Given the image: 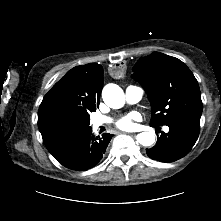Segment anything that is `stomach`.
Returning <instances> with one entry per match:
<instances>
[{
	"label": "stomach",
	"mask_w": 221,
	"mask_h": 221,
	"mask_svg": "<svg viewBox=\"0 0 221 221\" xmlns=\"http://www.w3.org/2000/svg\"><path fill=\"white\" fill-rule=\"evenodd\" d=\"M129 69L128 63L121 60L111 64L108 71L111 77L118 79L127 75Z\"/></svg>",
	"instance_id": "1"
}]
</instances>
